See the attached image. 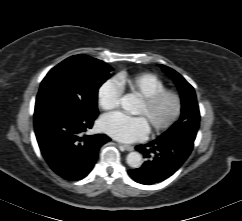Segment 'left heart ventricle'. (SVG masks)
Here are the masks:
<instances>
[{
    "mask_svg": "<svg viewBox=\"0 0 242 221\" xmlns=\"http://www.w3.org/2000/svg\"><path fill=\"white\" fill-rule=\"evenodd\" d=\"M173 104L170 99H164L153 109L147 111L143 102L140 103L137 114L142 115L146 122L151 125L166 120L172 112Z\"/></svg>",
    "mask_w": 242,
    "mask_h": 221,
    "instance_id": "obj_1",
    "label": "left heart ventricle"
}]
</instances>
